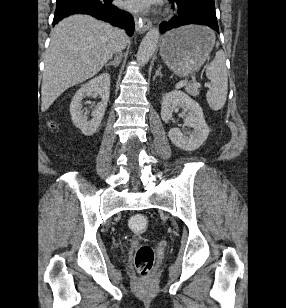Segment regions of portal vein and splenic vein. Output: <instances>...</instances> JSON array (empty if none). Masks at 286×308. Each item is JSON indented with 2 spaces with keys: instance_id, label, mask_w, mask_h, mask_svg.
<instances>
[{
  "instance_id": "obj_1",
  "label": "portal vein and splenic vein",
  "mask_w": 286,
  "mask_h": 308,
  "mask_svg": "<svg viewBox=\"0 0 286 308\" xmlns=\"http://www.w3.org/2000/svg\"><path fill=\"white\" fill-rule=\"evenodd\" d=\"M187 84H189V81H188L187 79H184V80L180 81V82L177 84V86H178V87H184V86H186ZM196 86L199 87V84H197ZM205 86L208 87L209 85L206 84Z\"/></svg>"
}]
</instances>
